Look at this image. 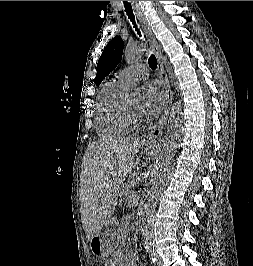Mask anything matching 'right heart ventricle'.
<instances>
[{"label": "right heart ventricle", "instance_id": "right-heart-ventricle-1", "mask_svg": "<svg viewBox=\"0 0 253 266\" xmlns=\"http://www.w3.org/2000/svg\"><path fill=\"white\" fill-rule=\"evenodd\" d=\"M124 86V83L113 78L104 84L98 95L95 123L100 137H120L134 127L122 110Z\"/></svg>", "mask_w": 253, "mask_h": 266}]
</instances>
